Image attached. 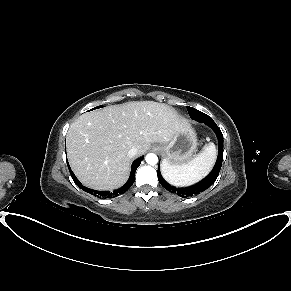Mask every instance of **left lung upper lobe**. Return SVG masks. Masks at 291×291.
I'll list each match as a JSON object with an SVG mask.
<instances>
[{
  "label": "left lung upper lobe",
  "mask_w": 291,
  "mask_h": 291,
  "mask_svg": "<svg viewBox=\"0 0 291 291\" xmlns=\"http://www.w3.org/2000/svg\"><path fill=\"white\" fill-rule=\"evenodd\" d=\"M187 110H188V113H189V115H190V117L192 116L191 114H193L194 112H197V110L195 109V108H192V107H187ZM177 189H179V188H177Z\"/></svg>",
  "instance_id": "5c2ea615"
}]
</instances>
